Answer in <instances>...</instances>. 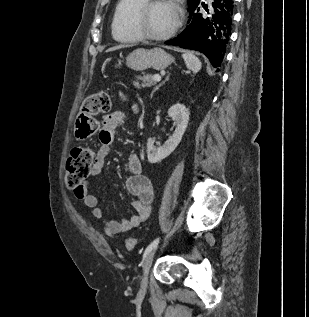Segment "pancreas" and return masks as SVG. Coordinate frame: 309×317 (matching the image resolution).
<instances>
[{
    "mask_svg": "<svg viewBox=\"0 0 309 317\" xmlns=\"http://www.w3.org/2000/svg\"><path fill=\"white\" fill-rule=\"evenodd\" d=\"M154 76L152 74L144 75V76H138L137 81L134 82V86L137 89H140L141 87H151L156 85V81L154 80ZM140 81V83H139Z\"/></svg>",
    "mask_w": 309,
    "mask_h": 317,
    "instance_id": "pancreas-1",
    "label": "pancreas"
}]
</instances>
